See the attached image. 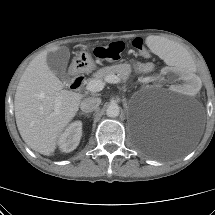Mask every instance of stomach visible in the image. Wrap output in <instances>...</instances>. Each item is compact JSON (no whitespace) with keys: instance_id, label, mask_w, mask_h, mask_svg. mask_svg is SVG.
I'll return each instance as SVG.
<instances>
[{"instance_id":"0dacf381","label":"stomach","mask_w":215,"mask_h":215,"mask_svg":"<svg viewBox=\"0 0 215 215\" xmlns=\"http://www.w3.org/2000/svg\"><path fill=\"white\" fill-rule=\"evenodd\" d=\"M72 67L77 72H90L95 68V63L88 52L81 51L73 59Z\"/></svg>"}]
</instances>
